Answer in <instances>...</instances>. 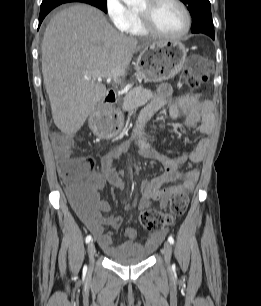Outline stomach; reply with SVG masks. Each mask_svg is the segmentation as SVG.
<instances>
[{"label":"stomach","mask_w":261,"mask_h":306,"mask_svg":"<svg viewBox=\"0 0 261 306\" xmlns=\"http://www.w3.org/2000/svg\"><path fill=\"white\" fill-rule=\"evenodd\" d=\"M187 49L176 40L160 41L143 49L137 59V73L145 82H161L173 78L184 66ZM89 125L100 137L112 134L111 128L104 125V115L93 112ZM120 126V121L117 122Z\"/></svg>","instance_id":"obj_1"}]
</instances>
